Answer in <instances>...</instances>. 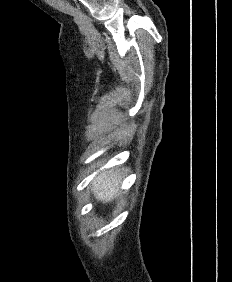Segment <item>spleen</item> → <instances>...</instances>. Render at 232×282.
Returning a JSON list of instances; mask_svg holds the SVG:
<instances>
[{
	"mask_svg": "<svg viewBox=\"0 0 232 282\" xmlns=\"http://www.w3.org/2000/svg\"><path fill=\"white\" fill-rule=\"evenodd\" d=\"M121 181V173L119 171H110L99 177L94 185V191L97 198L101 200H110L115 195V188Z\"/></svg>",
	"mask_w": 232,
	"mask_h": 282,
	"instance_id": "1",
	"label": "spleen"
}]
</instances>
